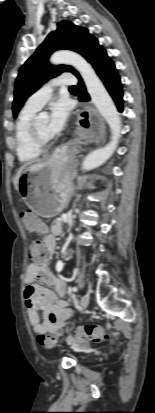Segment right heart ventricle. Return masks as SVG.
I'll use <instances>...</instances> for the list:
<instances>
[{"label":"right heart ventricle","instance_id":"right-heart-ventricle-1","mask_svg":"<svg viewBox=\"0 0 155 413\" xmlns=\"http://www.w3.org/2000/svg\"><path fill=\"white\" fill-rule=\"evenodd\" d=\"M36 110L22 109L15 126V150L18 160L22 163H29L36 160L41 150L32 143L29 135L30 125L34 119Z\"/></svg>","mask_w":155,"mask_h":413}]
</instances>
